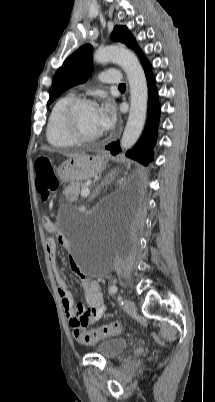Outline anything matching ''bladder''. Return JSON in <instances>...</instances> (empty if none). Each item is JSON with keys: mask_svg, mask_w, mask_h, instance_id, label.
<instances>
[{"mask_svg": "<svg viewBox=\"0 0 215 402\" xmlns=\"http://www.w3.org/2000/svg\"><path fill=\"white\" fill-rule=\"evenodd\" d=\"M128 345V341L124 338L110 337L97 343L96 352L106 359H111L121 354Z\"/></svg>", "mask_w": 215, "mask_h": 402, "instance_id": "bladder-1", "label": "bladder"}]
</instances>
